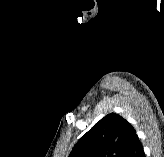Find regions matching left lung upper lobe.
Returning <instances> with one entry per match:
<instances>
[{
  "mask_svg": "<svg viewBox=\"0 0 164 157\" xmlns=\"http://www.w3.org/2000/svg\"><path fill=\"white\" fill-rule=\"evenodd\" d=\"M135 135L127 120L110 113L83 135L69 157H123Z\"/></svg>",
  "mask_w": 164,
  "mask_h": 157,
  "instance_id": "1",
  "label": "left lung upper lobe"
}]
</instances>
